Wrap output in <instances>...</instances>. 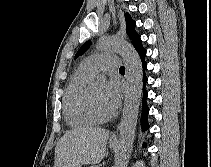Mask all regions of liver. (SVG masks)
Wrapping results in <instances>:
<instances>
[{
  "mask_svg": "<svg viewBox=\"0 0 211 167\" xmlns=\"http://www.w3.org/2000/svg\"><path fill=\"white\" fill-rule=\"evenodd\" d=\"M109 131L79 127L67 131L55 148L54 167H81L97 164L105 156Z\"/></svg>",
  "mask_w": 211,
  "mask_h": 167,
  "instance_id": "obj_1",
  "label": "liver"
}]
</instances>
